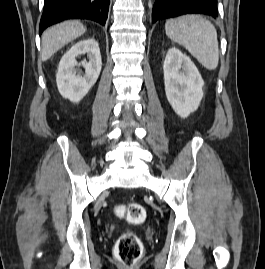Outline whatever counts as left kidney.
<instances>
[{
  "mask_svg": "<svg viewBox=\"0 0 265 269\" xmlns=\"http://www.w3.org/2000/svg\"><path fill=\"white\" fill-rule=\"evenodd\" d=\"M164 85L173 110L187 118L195 112L203 97L204 81L191 59L177 48H170L165 57Z\"/></svg>",
  "mask_w": 265,
  "mask_h": 269,
  "instance_id": "left-kidney-1",
  "label": "left kidney"
}]
</instances>
